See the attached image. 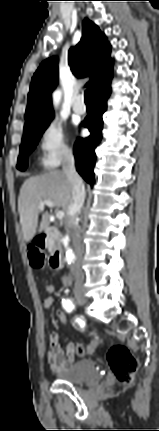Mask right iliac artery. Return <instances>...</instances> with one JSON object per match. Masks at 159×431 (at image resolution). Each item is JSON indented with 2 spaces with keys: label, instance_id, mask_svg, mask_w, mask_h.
Listing matches in <instances>:
<instances>
[{
  "label": "right iliac artery",
  "instance_id": "82829eb1",
  "mask_svg": "<svg viewBox=\"0 0 159 431\" xmlns=\"http://www.w3.org/2000/svg\"><path fill=\"white\" fill-rule=\"evenodd\" d=\"M62 305L67 312H71L75 308L74 302L70 299L63 300Z\"/></svg>",
  "mask_w": 159,
  "mask_h": 431
}]
</instances>
